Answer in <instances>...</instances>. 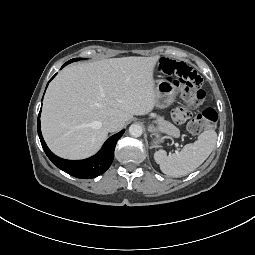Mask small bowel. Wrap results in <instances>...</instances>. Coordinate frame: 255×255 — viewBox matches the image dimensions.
Instances as JSON below:
<instances>
[{"label": "small bowel", "mask_w": 255, "mask_h": 255, "mask_svg": "<svg viewBox=\"0 0 255 255\" xmlns=\"http://www.w3.org/2000/svg\"><path fill=\"white\" fill-rule=\"evenodd\" d=\"M171 119L177 124H188L193 119V112L184 106H179L171 112Z\"/></svg>", "instance_id": "1"}]
</instances>
